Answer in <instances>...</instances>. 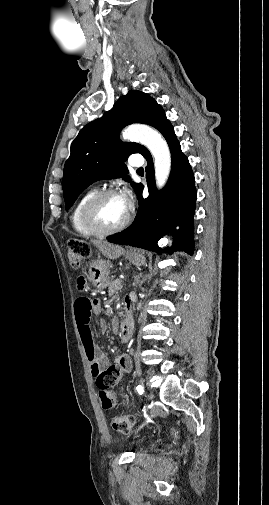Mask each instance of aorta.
I'll use <instances>...</instances> for the list:
<instances>
[{
    "label": "aorta",
    "instance_id": "aorta-1",
    "mask_svg": "<svg viewBox=\"0 0 269 505\" xmlns=\"http://www.w3.org/2000/svg\"><path fill=\"white\" fill-rule=\"evenodd\" d=\"M123 138L138 141L149 149L154 159L156 184L164 187L170 175L171 154L160 133L146 125H131L123 132Z\"/></svg>",
    "mask_w": 269,
    "mask_h": 505
}]
</instances>
